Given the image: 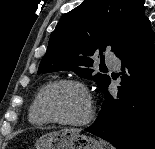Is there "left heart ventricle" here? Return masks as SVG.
<instances>
[{
    "label": "left heart ventricle",
    "instance_id": "obj_1",
    "mask_svg": "<svg viewBox=\"0 0 155 149\" xmlns=\"http://www.w3.org/2000/svg\"><path fill=\"white\" fill-rule=\"evenodd\" d=\"M49 112L66 121L81 120L87 113V102L82 91L73 85L52 87L45 97Z\"/></svg>",
    "mask_w": 155,
    "mask_h": 149
}]
</instances>
